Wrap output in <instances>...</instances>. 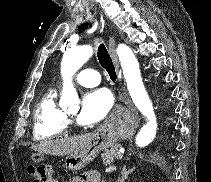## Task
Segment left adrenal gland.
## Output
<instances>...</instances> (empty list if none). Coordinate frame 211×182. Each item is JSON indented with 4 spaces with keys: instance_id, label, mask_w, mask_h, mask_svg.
I'll return each instance as SVG.
<instances>
[{
    "instance_id": "left-adrenal-gland-1",
    "label": "left adrenal gland",
    "mask_w": 211,
    "mask_h": 182,
    "mask_svg": "<svg viewBox=\"0 0 211 182\" xmlns=\"http://www.w3.org/2000/svg\"><path fill=\"white\" fill-rule=\"evenodd\" d=\"M134 167L130 170H127L126 166L123 167L121 171V176L118 178V182H125V180L128 178L129 174L134 171Z\"/></svg>"
}]
</instances>
